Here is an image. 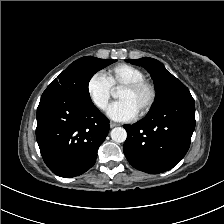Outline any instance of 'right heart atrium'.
<instances>
[{
    "label": "right heart atrium",
    "mask_w": 224,
    "mask_h": 224,
    "mask_svg": "<svg viewBox=\"0 0 224 224\" xmlns=\"http://www.w3.org/2000/svg\"><path fill=\"white\" fill-rule=\"evenodd\" d=\"M86 90L90 100L99 110L107 108L113 89L103 73H94L87 81Z\"/></svg>",
    "instance_id": "1"
}]
</instances>
